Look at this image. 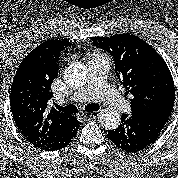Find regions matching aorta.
<instances>
[{"instance_id":"obj_1","label":"aorta","mask_w":178,"mask_h":178,"mask_svg":"<svg viewBox=\"0 0 178 178\" xmlns=\"http://www.w3.org/2000/svg\"><path fill=\"white\" fill-rule=\"evenodd\" d=\"M88 78V70L82 63H72L65 71V80L71 87L83 86ZM99 121L102 127L113 130L120 124V115L114 108H106L100 112Z\"/></svg>"}]
</instances>
